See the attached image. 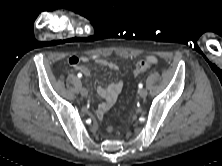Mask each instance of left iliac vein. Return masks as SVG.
<instances>
[{
  "mask_svg": "<svg viewBox=\"0 0 222 166\" xmlns=\"http://www.w3.org/2000/svg\"><path fill=\"white\" fill-rule=\"evenodd\" d=\"M138 93H139L140 97H142V98L147 96V90L146 89H140Z\"/></svg>",
  "mask_w": 222,
  "mask_h": 166,
  "instance_id": "left-iliac-vein-1",
  "label": "left iliac vein"
}]
</instances>
